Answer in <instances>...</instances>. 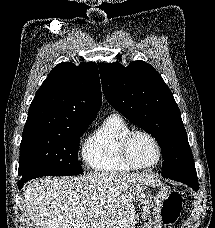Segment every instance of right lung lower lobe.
Instances as JSON below:
<instances>
[{
	"label": "right lung lower lobe",
	"mask_w": 215,
	"mask_h": 228,
	"mask_svg": "<svg viewBox=\"0 0 215 228\" xmlns=\"http://www.w3.org/2000/svg\"><path fill=\"white\" fill-rule=\"evenodd\" d=\"M25 182H26V181H24V180H20V181L18 182V188H19V190L22 189V187H23V185H24Z\"/></svg>",
	"instance_id": "1"
}]
</instances>
